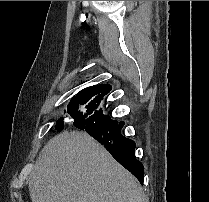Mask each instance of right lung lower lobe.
I'll list each match as a JSON object with an SVG mask.
<instances>
[{"mask_svg":"<svg viewBox=\"0 0 209 202\" xmlns=\"http://www.w3.org/2000/svg\"><path fill=\"white\" fill-rule=\"evenodd\" d=\"M111 89L110 85L104 84L80 91V101L85 111L73 117V125L103 144L110 154L143 184L144 167L135 157V142L121 134L124 122L112 120L99 108L104 95Z\"/></svg>","mask_w":209,"mask_h":202,"instance_id":"98d812e1","label":"right lung lower lobe"}]
</instances>
